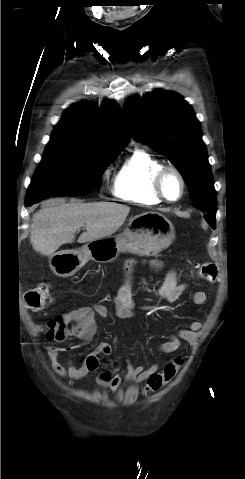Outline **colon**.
Listing matches in <instances>:
<instances>
[{
    "label": "colon",
    "mask_w": 245,
    "mask_h": 479,
    "mask_svg": "<svg viewBox=\"0 0 245 479\" xmlns=\"http://www.w3.org/2000/svg\"><path fill=\"white\" fill-rule=\"evenodd\" d=\"M200 275L213 282L217 278V266L212 262H204L199 265ZM24 300L30 310H38L48 305L52 300V294L47 284H42L29 289ZM50 332L48 337L55 340H65L70 336L71 320L59 315L51 320ZM183 365V358L177 356L165 364L162 371L152 374L146 381V390L149 392H158L176 376Z\"/></svg>",
    "instance_id": "obj_1"
}]
</instances>
